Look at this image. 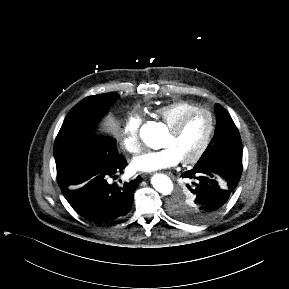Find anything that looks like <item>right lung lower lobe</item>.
I'll return each mask as SVG.
<instances>
[{
	"instance_id": "obj_1",
	"label": "right lung lower lobe",
	"mask_w": 289,
	"mask_h": 289,
	"mask_svg": "<svg viewBox=\"0 0 289 289\" xmlns=\"http://www.w3.org/2000/svg\"><path fill=\"white\" fill-rule=\"evenodd\" d=\"M127 162L117 152L95 158L75 156L56 164L57 181L72 208L85 219L107 223L123 218L131 209L140 176L119 186L108 178L123 173Z\"/></svg>"
}]
</instances>
